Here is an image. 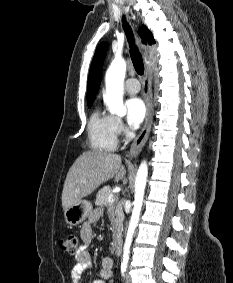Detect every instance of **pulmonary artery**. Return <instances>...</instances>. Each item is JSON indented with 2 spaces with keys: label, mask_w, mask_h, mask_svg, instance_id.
<instances>
[{
  "label": "pulmonary artery",
  "mask_w": 233,
  "mask_h": 283,
  "mask_svg": "<svg viewBox=\"0 0 233 283\" xmlns=\"http://www.w3.org/2000/svg\"><path fill=\"white\" fill-rule=\"evenodd\" d=\"M124 89L128 94H137L140 91V84L136 78H130L125 82Z\"/></svg>",
  "instance_id": "obj_1"
}]
</instances>
